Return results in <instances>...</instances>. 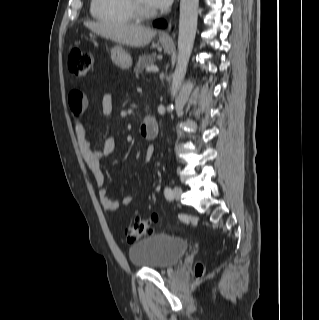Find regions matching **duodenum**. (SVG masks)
Masks as SVG:
<instances>
[{
	"instance_id": "duodenum-1",
	"label": "duodenum",
	"mask_w": 319,
	"mask_h": 320,
	"mask_svg": "<svg viewBox=\"0 0 319 320\" xmlns=\"http://www.w3.org/2000/svg\"><path fill=\"white\" fill-rule=\"evenodd\" d=\"M159 133L158 123L153 116H147L140 124V134L145 138H155Z\"/></svg>"
}]
</instances>
